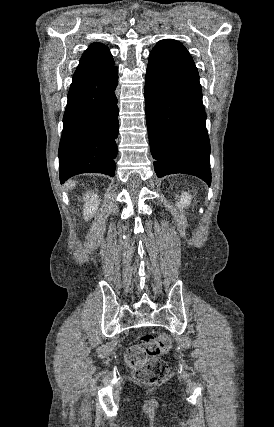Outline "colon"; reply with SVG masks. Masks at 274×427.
<instances>
[{
    "instance_id": "1",
    "label": "colon",
    "mask_w": 274,
    "mask_h": 427,
    "mask_svg": "<svg viewBox=\"0 0 274 427\" xmlns=\"http://www.w3.org/2000/svg\"><path fill=\"white\" fill-rule=\"evenodd\" d=\"M171 342L164 334H143L125 353L126 364L133 371V379L140 384H155L170 375L169 365L158 358L169 351Z\"/></svg>"
}]
</instances>
